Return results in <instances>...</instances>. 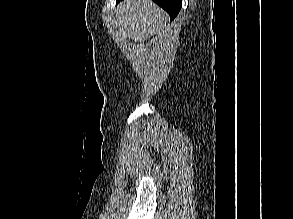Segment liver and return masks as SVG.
Wrapping results in <instances>:
<instances>
[{"label":"liver","mask_w":293,"mask_h":219,"mask_svg":"<svg viewBox=\"0 0 293 219\" xmlns=\"http://www.w3.org/2000/svg\"><path fill=\"white\" fill-rule=\"evenodd\" d=\"M168 20V14L151 0H124L117 7L119 35L135 42H144Z\"/></svg>","instance_id":"6515ba94"}]
</instances>
